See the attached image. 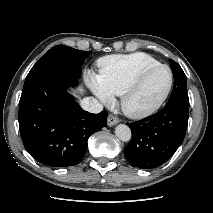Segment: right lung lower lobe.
I'll use <instances>...</instances> for the list:
<instances>
[{"instance_id":"obj_1","label":"right lung lower lobe","mask_w":213,"mask_h":213,"mask_svg":"<svg viewBox=\"0 0 213 213\" xmlns=\"http://www.w3.org/2000/svg\"><path fill=\"white\" fill-rule=\"evenodd\" d=\"M78 77L59 66L28 73L19 102V128L27 152L51 167L78 164L91 134L106 126L107 113L83 110L67 92Z\"/></svg>"}]
</instances>
